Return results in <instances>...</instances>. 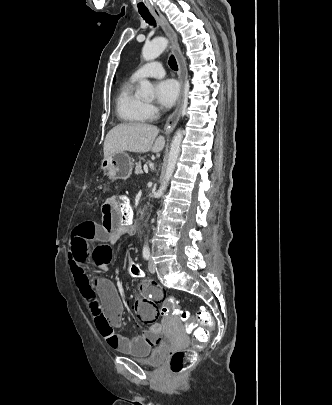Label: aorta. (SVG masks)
I'll use <instances>...</instances> for the list:
<instances>
[{"label":"aorta","mask_w":332,"mask_h":405,"mask_svg":"<svg viewBox=\"0 0 332 405\" xmlns=\"http://www.w3.org/2000/svg\"><path fill=\"white\" fill-rule=\"evenodd\" d=\"M168 46V40L164 37H155L151 42L146 43L142 49V57L146 61H151L160 56ZM153 93V85L148 80L140 82V95L148 97ZM183 139V132L179 129L173 136L170 151L167 160L166 172L163 182L157 191V196L160 198L165 192L169 181L175 171L177 160L181 152V142Z\"/></svg>","instance_id":"obj_1"}]
</instances>
